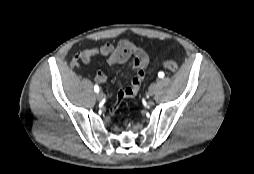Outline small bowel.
I'll return each mask as SVG.
<instances>
[{
    "instance_id": "c3829d8e",
    "label": "small bowel",
    "mask_w": 254,
    "mask_h": 174,
    "mask_svg": "<svg viewBox=\"0 0 254 174\" xmlns=\"http://www.w3.org/2000/svg\"><path fill=\"white\" fill-rule=\"evenodd\" d=\"M82 61L87 63L95 56H106L109 65H118L129 63L130 68L135 70V75L130 84L126 87L120 88L117 95V102H115L110 112L114 113L118 108V101L124 98H131L138 93L141 83L145 76V69L149 62L148 54L145 50L135 46L127 39L120 40L117 44L105 43L98 47L88 48L81 53ZM95 80L102 84L106 82V74L99 70L95 75Z\"/></svg>"
}]
</instances>
